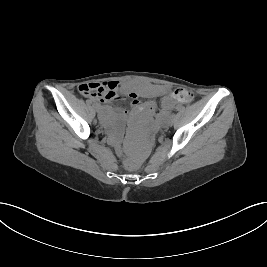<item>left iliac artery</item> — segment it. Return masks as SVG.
Segmentation results:
<instances>
[{
  "label": "left iliac artery",
  "instance_id": "obj_1",
  "mask_svg": "<svg viewBox=\"0 0 267 267\" xmlns=\"http://www.w3.org/2000/svg\"><path fill=\"white\" fill-rule=\"evenodd\" d=\"M173 118H174V114L168 115V119H173Z\"/></svg>",
  "mask_w": 267,
  "mask_h": 267
}]
</instances>
